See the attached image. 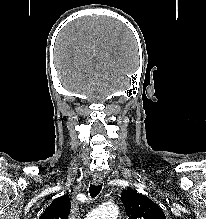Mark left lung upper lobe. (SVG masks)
Wrapping results in <instances>:
<instances>
[{
	"label": "left lung upper lobe",
	"instance_id": "obj_1",
	"mask_svg": "<svg viewBox=\"0 0 206 219\" xmlns=\"http://www.w3.org/2000/svg\"><path fill=\"white\" fill-rule=\"evenodd\" d=\"M121 201L129 219H166L156 203L134 190L122 191Z\"/></svg>",
	"mask_w": 206,
	"mask_h": 219
}]
</instances>
